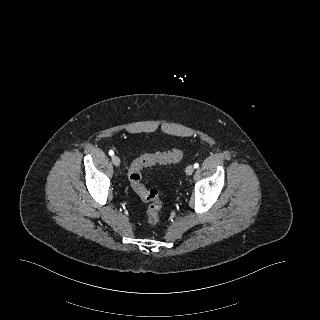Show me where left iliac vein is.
I'll return each instance as SVG.
<instances>
[{
  "instance_id": "1",
  "label": "left iliac vein",
  "mask_w": 320,
  "mask_h": 320,
  "mask_svg": "<svg viewBox=\"0 0 320 320\" xmlns=\"http://www.w3.org/2000/svg\"><path fill=\"white\" fill-rule=\"evenodd\" d=\"M185 172L187 175H192L194 172V166L193 165L187 166Z\"/></svg>"
}]
</instances>
